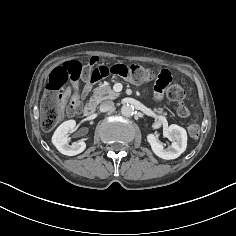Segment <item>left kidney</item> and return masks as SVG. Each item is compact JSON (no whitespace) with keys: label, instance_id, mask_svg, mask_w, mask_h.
I'll list each match as a JSON object with an SVG mask.
<instances>
[{"label":"left kidney","instance_id":"5707ae66","mask_svg":"<svg viewBox=\"0 0 236 236\" xmlns=\"http://www.w3.org/2000/svg\"><path fill=\"white\" fill-rule=\"evenodd\" d=\"M167 133L174 139L168 148H164L163 144L157 140L154 134L147 135V141L151 145L152 151L160 158L172 160L178 158L187 147V132L184 128L172 124L168 127Z\"/></svg>","mask_w":236,"mask_h":236}]
</instances>
